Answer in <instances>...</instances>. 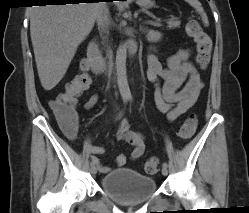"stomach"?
<instances>
[{
    "label": "stomach",
    "mask_w": 249,
    "mask_h": 213,
    "mask_svg": "<svg viewBox=\"0 0 249 213\" xmlns=\"http://www.w3.org/2000/svg\"><path fill=\"white\" fill-rule=\"evenodd\" d=\"M137 4L141 7H150L153 5L151 0H137Z\"/></svg>",
    "instance_id": "obj_1"
}]
</instances>
